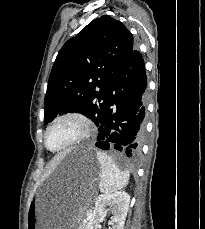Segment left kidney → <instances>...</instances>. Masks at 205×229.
<instances>
[{
  "label": "left kidney",
  "instance_id": "left-kidney-1",
  "mask_svg": "<svg viewBox=\"0 0 205 229\" xmlns=\"http://www.w3.org/2000/svg\"><path fill=\"white\" fill-rule=\"evenodd\" d=\"M129 203L130 196L126 192H114L98 196L93 212L87 217L89 222L86 229L100 228V222L104 219L106 207H109L113 214L110 221L111 227L109 229H123Z\"/></svg>",
  "mask_w": 205,
  "mask_h": 229
}]
</instances>
